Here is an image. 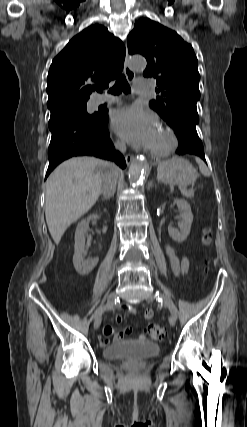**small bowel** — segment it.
Listing matches in <instances>:
<instances>
[{
	"label": "small bowel",
	"mask_w": 247,
	"mask_h": 427,
	"mask_svg": "<svg viewBox=\"0 0 247 427\" xmlns=\"http://www.w3.org/2000/svg\"><path fill=\"white\" fill-rule=\"evenodd\" d=\"M165 249H166V254L169 258L170 265H171L173 272L176 275L184 274L188 268V259L186 257L177 256L174 249L169 245H167ZM127 309L129 312L135 313V310L132 307H128ZM152 315H153L152 310L146 309L143 316L145 319H150L152 317ZM115 320H116V322H121L122 321V315L120 313H117L115 315ZM131 333H132V328H130V327H127L123 332H117L116 333L113 326L110 324H107L103 328L104 337L101 339V344L102 345L108 344L109 338L111 336L113 337L114 342H120L124 338L129 336ZM145 338H146L145 335H141L139 337V339H141V340H144Z\"/></svg>",
	"instance_id": "small-bowel-1"
}]
</instances>
